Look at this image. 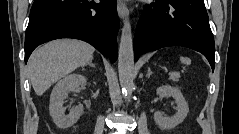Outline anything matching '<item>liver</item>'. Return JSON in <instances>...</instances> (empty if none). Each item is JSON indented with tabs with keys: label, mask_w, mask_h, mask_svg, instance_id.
Returning a JSON list of instances; mask_svg holds the SVG:
<instances>
[{
	"label": "liver",
	"mask_w": 239,
	"mask_h": 134,
	"mask_svg": "<svg viewBox=\"0 0 239 134\" xmlns=\"http://www.w3.org/2000/svg\"><path fill=\"white\" fill-rule=\"evenodd\" d=\"M94 48L83 41L61 39L37 48L28 61V71L39 96L55 82L93 59Z\"/></svg>",
	"instance_id": "6515ba94"
}]
</instances>
